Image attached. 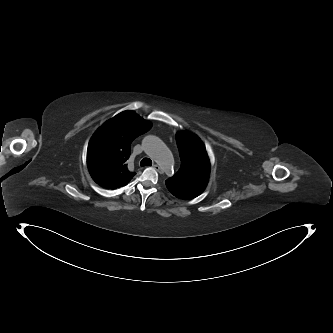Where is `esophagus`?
I'll return each instance as SVG.
<instances>
[{"instance_id":"34e87169","label":"esophagus","mask_w":333,"mask_h":333,"mask_svg":"<svg viewBox=\"0 0 333 333\" xmlns=\"http://www.w3.org/2000/svg\"><path fill=\"white\" fill-rule=\"evenodd\" d=\"M153 168H154L156 171H158V172L161 173V168H160V166H159L158 164H154V165H153Z\"/></svg>"}]
</instances>
